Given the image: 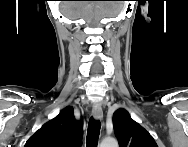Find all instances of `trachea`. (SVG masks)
<instances>
[{
	"label": "trachea",
	"mask_w": 188,
	"mask_h": 147,
	"mask_svg": "<svg viewBox=\"0 0 188 147\" xmlns=\"http://www.w3.org/2000/svg\"><path fill=\"white\" fill-rule=\"evenodd\" d=\"M101 123L99 120H94L92 117L89 119L86 147H97L98 138L100 133Z\"/></svg>",
	"instance_id": "3493384b"
}]
</instances>
